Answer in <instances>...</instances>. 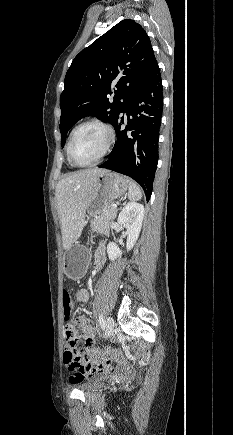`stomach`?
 <instances>
[{
	"instance_id": "stomach-1",
	"label": "stomach",
	"mask_w": 233,
	"mask_h": 435,
	"mask_svg": "<svg viewBox=\"0 0 233 435\" xmlns=\"http://www.w3.org/2000/svg\"><path fill=\"white\" fill-rule=\"evenodd\" d=\"M129 180L119 174L106 171L97 177L93 195L87 207L88 218L100 216L105 206L126 193ZM89 263V250L74 244L63 255V269L67 277L78 280L84 277Z\"/></svg>"
}]
</instances>
